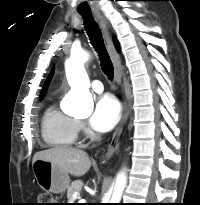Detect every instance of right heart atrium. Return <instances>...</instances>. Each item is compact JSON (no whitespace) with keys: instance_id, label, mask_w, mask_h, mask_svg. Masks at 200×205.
Returning <instances> with one entry per match:
<instances>
[{"instance_id":"right-heart-atrium-1","label":"right heart atrium","mask_w":200,"mask_h":205,"mask_svg":"<svg viewBox=\"0 0 200 205\" xmlns=\"http://www.w3.org/2000/svg\"><path fill=\"white\" fill-rule=\"evenodd\" d=\"M78 130H81L83 132H87V129H86L84 123H82V122H78Z\"/></svg>"}]
</instances>
